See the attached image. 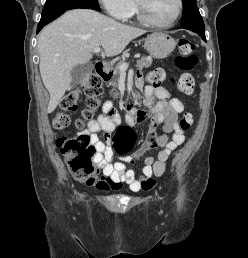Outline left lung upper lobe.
I'll return each instance as SVG.
<instances>
[{"instance_id": "left-lung-upper-lobe-1", "label": "left lung upper lobe", "mask_w": 248, "mask_h": 258, "mask_svg": "<svg viewBox=\"0 0 248 258\" xmlns=\"http://www.w3.org/2000/svg\"><path fill=\"white\" fill-rule=\"evenodd\" d=\"M184 5L181 26L203 23L196 0H182Z\"/></svg>"}]
</instances>
